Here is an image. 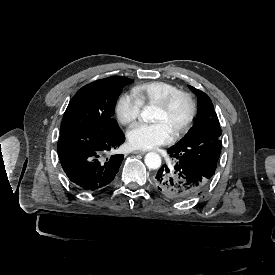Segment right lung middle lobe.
Wrapping results in <instances>:
<instances>
[{
    "label": "right lung middle lobe",
    "mask_w": 275,
    "mask_h": 275,
    "mask_svg": "<svg viewBox=\"0 0 275 275\" xmlns=\"http://www.w3.org/2000/svg\"><path fill=\"white\" fill-rule=\"evenodd\" d=\"M130 82L129 78L109 77L81 88L69 102L60 129L83 128L101 135L119 131L113 119L115 105L121 89Z\"/></svg>",
    "instance_id": "1"
}]
</instances>
